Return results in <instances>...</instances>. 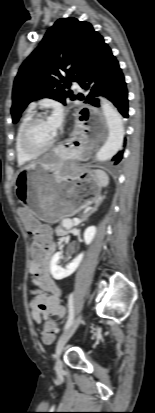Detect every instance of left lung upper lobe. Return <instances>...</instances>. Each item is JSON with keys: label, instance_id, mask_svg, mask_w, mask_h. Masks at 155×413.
<instances>
[{"label": "left lung upper lobe", "instance_id": "left-lung-upper-lobe-1", "mask_svg": "<svg viewBox=\"0 0 155 413\" xmlns=\"http://www.w3.org/2000/svg\"><path fill=\"white\" fill-rule=\"evenodd\" d=\"M107 44L92 25L62 18L48 29L39 46L23 62L13 86V123L31 101L49 97L65 103L76 97L65 91L72 81L80 84ZM66 72V78L61 72ZM64 84H61L60 80Z\"/></svg>", "mask_w": 155, "mask_h": 413}]
</instances>
